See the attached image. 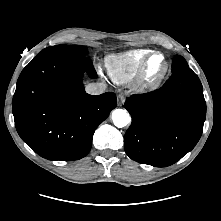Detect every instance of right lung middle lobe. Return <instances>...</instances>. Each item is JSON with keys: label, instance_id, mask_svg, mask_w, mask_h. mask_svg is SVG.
Returning a JSON list of instances; mask_svg holds the SVG:
<instances>
[{"label": "right lung middle lobe", "instance_id": "dd1d6c3e", "mask_svg": "<svg viewBox=\"0 0 221 221\" xmlns=\"http://www.w3.org/2000/svg\"><path fill=\"white\" fill-rule=\"evenodd\" d=\"M43 54L85 56L87 54V48L80 45H56L43 49L38 55Z\"/></svg>", "mask_w": 221, "mask_h": 221}]
</instances>
